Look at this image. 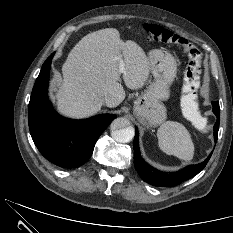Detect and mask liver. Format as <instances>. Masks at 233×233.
Instances as JSON below:
<instances>
[{
    "label": "liver",
    "instance_id": "1",
    "mask_svg": "<svg viewBox=\"0 0 233 233\" xmlns=\"http://www.w3.org/2000/svg\"><path fill=\"white\" fill-rule=\"evenodd\" d=\"M120 56L125 64V85L129 89L143 87L149 77L150 62L136 42H123L115 28L84 36L62 66L63 79L56 90L59 112L74 118L92 116L101 109L106 96L112 98V107L118 106L125 99L119 83Z\"/></svg>",
    "mask_w": 233,
    "mask_h": 233
}]
</instances>
